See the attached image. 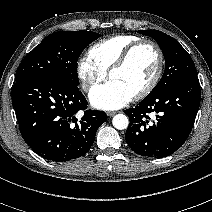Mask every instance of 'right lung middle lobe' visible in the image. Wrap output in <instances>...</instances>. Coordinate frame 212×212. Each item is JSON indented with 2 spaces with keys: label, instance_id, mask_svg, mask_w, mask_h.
Returning a JSON list of instances; mask_svg holds the SVG:
<instances>
[{
  "label": "right lung middle lobe",
  "instance_id": "right-lung-middle-lobe-1",
  "mask_svg": "<svg viewBox=\"0 0 212 212\" xmlns=\"http://www.w3.org/2000/svg\"><path fill=\"white\" fill-rule=\"evenodd\" d=\"M99 37L98 33L91 31L50 34L20 63L15 81L33 76H52L77 87L78 57L88 44Z\"/></svg>",
  "mask_w": 212,
  "mask_h": 212
}]
</instances>
